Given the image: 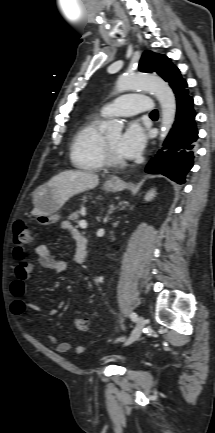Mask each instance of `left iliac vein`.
Wrapping results in <instances>:
<instances>
[{
    "instance_id": "obj_1",
    "label": "left iliac vein",
    "mask_w": 215,
    "mask_h": 433,
    "mask_svg": "<svg viewBox=\"0 0 215 433\" xmlns=\"http://www.w3.org/2000/svg\"><path fill=\"white\" fill-rule=\"evenodd\" d=\"M144 326H145V319L142 316H139L137 318L136 326L132 331L130 337L126 340L125 345H129L134 341H136L140 337Z\"/></svg>"
}]
</instances>
